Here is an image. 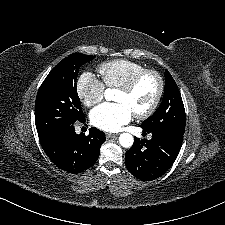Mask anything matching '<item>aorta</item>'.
<instances>
[{"label": "aorta", "instance_id": "obj_1", "mask_svg": "<svg viewBox=\"0 0 225 225\" xmlns=\"http://www.w3.org/2000/svg\"><path fill=\"white\" fill-rule=\"evenodd\" d=\"M104 94L106 100H111L112 95L111 89H106ZM133 142H134L133 136L129 133H122L119 136V143L124 148H130L133 145Z\"/></svg>", "mask_w": 225, "mask_h": 225}]
</instances>
